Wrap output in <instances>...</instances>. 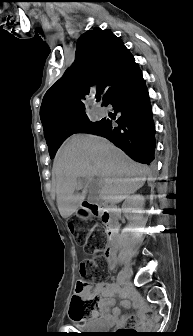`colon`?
Wrapping results in <instances>:
<instances>
[{
    "label": "colon",
    "instance_id": "colon-1",
    "mask_svg": "<svg viewBox=\"0 0 193 336\" xmlns=\"http://www.w3.org/2000/svg\"><path fill=\"white\" fill-rule=\"evenodd\" d=\"M68 227L74 232L76 223L70 222ZM93 227V224H88L89 230H92ZM75 240L78 244L83 245L87 252L98 253L102 250V245L95 234L77 233ZM91 263V260H83L80 264L81 279L77 283L76 292L72 296L70 303V316L75 321L89 319L94 313L99 311L100 297L93 293H86L90 286L87 275Z\"/></svg>",
    "mask_w": 193,
    "mask_h": 336
}]
</instances>
